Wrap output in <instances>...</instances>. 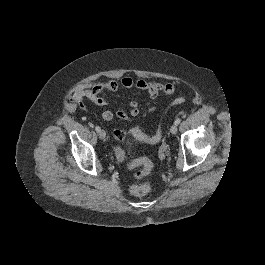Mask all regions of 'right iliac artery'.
<instances>
[{"label": "right iliac artery", "instance_id": "1", "mask_svg": "<svg viewBox=\"0 0 265 265\" xmlns=\"http://www.w3.org/2000/svg\"><path fill=\"white\" fill-rule=\"evenodd\" d=\"M95 130H96L97 132H99V131L101 130V128H100L99 126H96V127H95Z\"/></svg>", "mask_w": 265, "mask_h": 265}]
</instances>
